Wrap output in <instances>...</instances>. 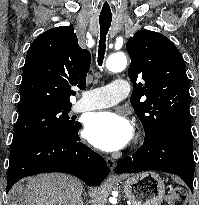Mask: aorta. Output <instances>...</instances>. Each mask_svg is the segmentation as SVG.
<instances>
[{
    "label": "aorta",
    "mask_w": 199,
    "mask_h": 205,
    "mask_svg": "<svg viewBox=\"0 0 199 205\" xmlns=\"http://www.w3.org/2000/svg\"><path fill=\"white\" fill-rule=\"evenodd\" d=\"M127 65V58L124 53L119 52L112 54L106 61V68L111 72H120L125 69Z\"/></svg>",
    "instance_id": "762f6f07"
}]
</instances>
